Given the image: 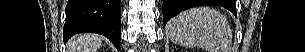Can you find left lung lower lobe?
Instances as JSON below:
<instances>
[{"label":"left lung lower lobe","instance_id":"left-lung-lower-lobe-1","mask_svg":"<svg viewBox=\"0 0 305 52\" xmlns=\"http://www.w3.org/2000/svg\"><path fill=\"white\" fill-rule=\"evenodd\" d=\"M232 6L227 7L234 15H236L235 0H232ZM202 5H210L209 0H163V23L166 25L169 19L180 13L181 11ZM226 8V7H225Z\"/></svg>","mask_w":305,"mask_h":52}]
</instances>
